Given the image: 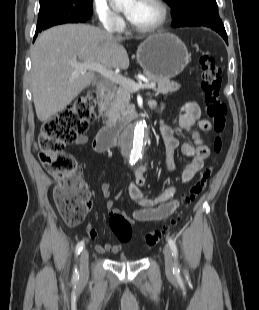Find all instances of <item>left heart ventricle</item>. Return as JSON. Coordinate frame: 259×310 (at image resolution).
<instances>
[{
	"mask_svg": "<svg viewBox=\"0 0 259 310\" xmlns=\"http://www.w3.org/2000/svg\"><path fill=\"white\" fill-rule=\"evenodd\" d=\"M126 12L132 10L130 21L139 27H149L157 23L161 12L152 0L130 1L125 7Z\"/></svg>",
	"mask_w": 259,
	"mask_h": 310,
	"instance_id": "obj_1",
	"label": "left heart ventricle"
}]
</instances>
